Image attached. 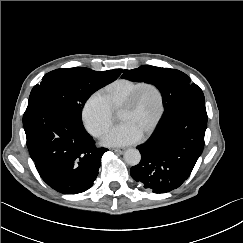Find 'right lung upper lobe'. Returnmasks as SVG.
I'll return each mask as SVG.
<instances>
[{
	"label": "right lung upper lobe",
	"instance_id": "cb5924a9",
	"mask_svg": "<svg viewBox=\"0 0 243 243\" xmlns=\"http://www.w3.org/2000/svg\"><path fill=\"white\" fill-rule=\"evenodd\" d=\"M109 72H112L113 74H115L118 77L121 74L122 69L110 70Z\"/></svg>",
	"mask_w": 243,
	"mask_h": 243
}]
</instances>
